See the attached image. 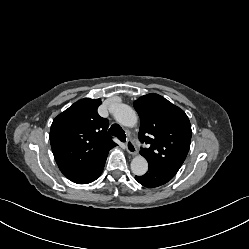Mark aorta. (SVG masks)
Returning a JSON list of instances; mask_svg holds the SVG:
<instances>
[{"instance_id": "1", "label": "aorta", "mask_w": 249, "mask_h": 249, "mask_svg": "<svg viewBox=\"0 0 249 249\" xmlns=\"http://www.w3.org/2000/svg\"><path fill=\"white\" fill-rule=\"evenodd\" d=\"M114 119L121 125L133 127L137 123L136 112L126 104H119L113 111ZM148 170L147 160L138 155L131 161V171L134 175L143 176Z\"/></svg>"}]
</instances>
